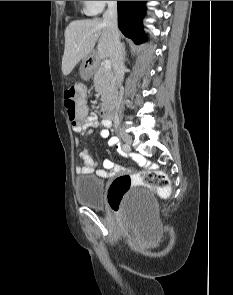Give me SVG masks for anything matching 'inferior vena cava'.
Returning <instances> with one entry per match:
<instances>
[{
  "label": "inferior vena cava",
  "mask_w": 233,
  "mask_h": 295,
  "mask_svg": "<svg viewBox=\"0 0 233 295\" xmlns=\"http://www.w3.org/2000/svg\"><path fill=\"white\" fill-rule=\"evenodd\" d=\"M107 3L108 9L103 14V20L107 24L109 32V52L114 72V86L119 89L125 67L117 25V1H107Z\"/></svg>",
  "instance_id": "1"
}]
</instances>
